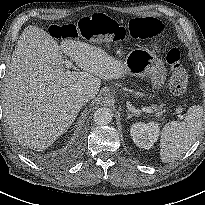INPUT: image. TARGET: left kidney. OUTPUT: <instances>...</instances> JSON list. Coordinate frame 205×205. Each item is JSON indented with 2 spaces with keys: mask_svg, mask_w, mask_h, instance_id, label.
Masks as SVG:
<instances>
[{
  "mask_svg": "<svg viewBox=\"0 0 205 205\" xmlns=\"http://www.w3.org/2000/svg\"><path fill=\"white\" fill-rule=\"evenodd\" d=\"M130 133L134 143L144 149H150L158 140L160 134L159 124L156 122H137L131 125Z\"/></svg>",
  "mask_w": 205,
  "mask_h": 205,
  "instance_id": "1",
  "label": "left kidney"
}]
</instances>
